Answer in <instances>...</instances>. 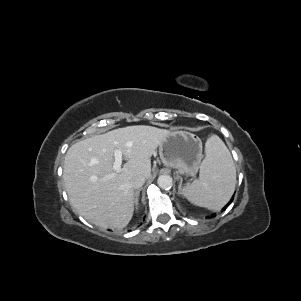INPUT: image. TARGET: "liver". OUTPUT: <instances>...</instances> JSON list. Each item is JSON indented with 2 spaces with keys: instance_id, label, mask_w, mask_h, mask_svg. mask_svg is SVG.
<instances>
[{
  "instance_id": "liver-1",
  "label": "liver",
  "mask_w": 301,
  "mask_h": 301,
  "mask_svg": "<svg viewBox=\"0 0 301 301\" xmlns=\"http://www.w3.org/2000/svg\"><path fill=\"white\" fill-rule=\"evenodd\" d=\"M168 130L135 125L94 135L73 144L65 155L63 179L72 206L99 227L123 229L134 212L132 179L151 176V156ZM127 162L113 169L114 151Z\"/></svg>"
}]
</instances>
